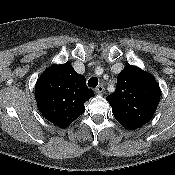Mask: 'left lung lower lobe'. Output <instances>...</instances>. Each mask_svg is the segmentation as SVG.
<instances>
[{
	"label": "left lung lower lobe",
	"instance_id": "left-lung-lower-lobe-1",
	"mask_svg": "<svg viewBox=\"0 0 175 175\" xmlns=\"http://www.w3.org/2000/svg\"><path fill=\"white\" fill-rule=\"evenodd\" d=\"M123 126H124L125 128H127V129H129V130H135V129H137V127L132 126V125H126V124H124Z\"/></svg>",
	"mask_w": 175,
	"mask_h": 175
}]
</instances>
